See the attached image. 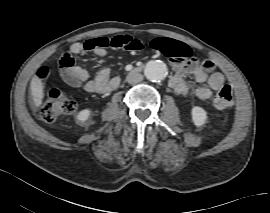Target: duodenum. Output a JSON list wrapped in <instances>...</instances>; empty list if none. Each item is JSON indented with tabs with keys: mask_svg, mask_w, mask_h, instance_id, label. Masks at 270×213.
<instances>
[{
	"mask_svg": "<svg viewBox=\"0 0 270 213\" xmlns=\"http://www.w3.org/2000/svg\"><path fill=\"white\" fill-rule=\"evenodd\" d=\"M142 70V68L141 67H137V68H135V71L136 72H140Z\"/></svg>",
	"mask_w": 270,
	"mask_h": 213,
	"instance_id": "obj_1",
	"label": "duodenum"
}]
</instances>
